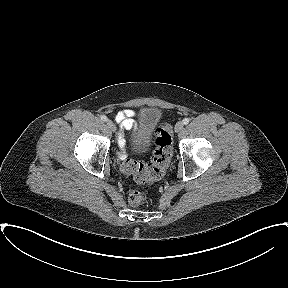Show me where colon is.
I'll list each match as a JSON object with an SVG mask.
<instances>
[{"instance_id": "colon-1", "label": "colon", "mask_w": 288, "mask_h": 288, "mask_svg": "<svg viewBox=\"0 0 288 288\" xmlns=\"http://www.w3.org/2000/svg\"><path fill=\"white\" fill-rule=\"evenodd\" d=\"M155 145L156 150L150 163L127 158L122 163V171L133 176L136 182L142 184L159 180L172 155V137L167 124H163L157 129ZM144 200V196L138 191H131L128 195V202L132 206H139L144 203Z\"/></svg>"}]
</instances>
